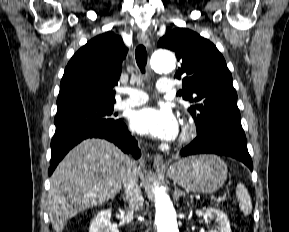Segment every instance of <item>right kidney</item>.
I'll return each instance as SVG.
<instances>
[{
	"mask_svg": "<svg viewBox=\"0 0 289 232\" xmlns=\"http://www.w3.org/2000/svg\"><path fill=\"white\" fill-rule=\"evenodd\" d=\"M111 209L100 211L91 221L89 232H119L110 222Z\"/></svg>",
	"mask_w": 289,
	"mask_h": 232,
	"instance_id": "obj_1",
	"label": "right kidney"
}]
</instances>
